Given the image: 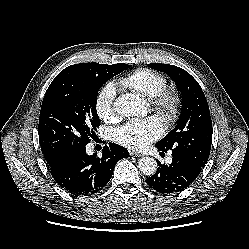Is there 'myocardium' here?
I'll use <instances>...</instances> for the list:
<instances>
[{"instance_id": "obj_1", "label": "myocardium", "mask_w": 249, "mask_h": 249, "mask_svg": "<svg viewBox=\"0 0 249 249\" xmlns=\"http://www.w3.org/2000/svg\"><path fill=\"white\" fill-rule=\"evenodd\" d=\"M150 108L158 113L167 125L174 124L179 116L182 98L179 91L166 86L154 96L148 98Z\"/></svg>"}]
</instances>
